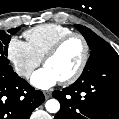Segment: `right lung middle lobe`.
<instances>
[{
    "label": "right lung middle lobe",
    "mask_w": 119,
    "mask_h": 119,
    "mask_svg": "<svg viewBox=\"0 0 119 119\" xmlns=\"http://www.w3.org/2000/svg\"><path fill=\"white\" fill-rule=\"evenodd\" d=\"M19 30L20 27H17L8 30V32L11 35H14ZM9 42H10V35L6 34V32L4 31H0V73L11 74L14 72L11 65L9 64V60L6 57Z\"/></svg>",
    "instance_id": "1"
}]
</instances>
